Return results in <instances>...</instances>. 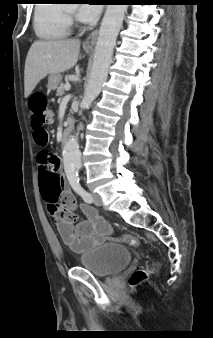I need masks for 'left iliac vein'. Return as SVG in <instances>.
<instances>
[{
	"label": "left iliac vein",
	"mask_w": 213,
	"mask_h": 338,
	"mask_svg": "<svg viewBox=\"0 0 213 338\" xmlns=\"http://www.w3.org/2000/svg\"><path fill=\"white\" fill-rule=\"evenodd\" d=\"M92 197H93V202H94L95 205H97V206L102 205V199H101V196L98 193H92Z\"/></svg>",
	"instance_id": "1"
}]
</instances>
